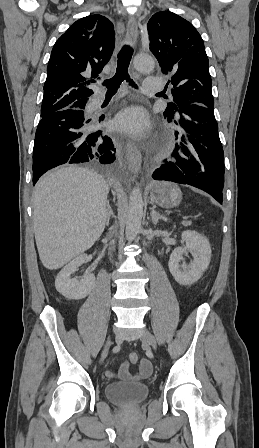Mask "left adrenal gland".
Masks as SVG:
<instances>
[{"mask_svg": "<svg viewBox=\"0 0 259 448\" xmlns=\"http://www.w3.org/2000/svg\"><path fill=\"white\" fill-rule=\"evenodd\" d=\"M151 218L153 224H158V220H164V222H167L166 216H160L159 212H155V210H151Z\"/></svg>", "mask_w": 259, "mask_h": 448, "instance_id": "a2214340", "label": "left adrenal gland"}]
</instances>
